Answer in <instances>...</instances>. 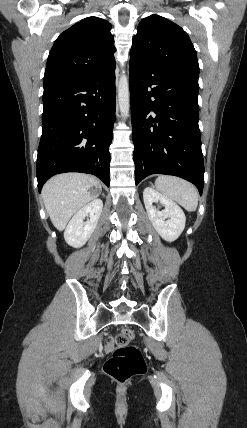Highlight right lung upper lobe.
<instances>
[{"label":"right lung upper lobe","instance_id":"obj_1","mask_svg":"<svg viewBox=\"0 0 247 428\" xmlns=\"http://www.w3.org/2000/svg\"><path fill=\"white\" fill-rule=\"evenodd\" d=\"M112 26L87 17L64 31L54 42L44 74V89L82 80L115 61Z\"/></svg>","mask_w":247,"mask_h":428}]
</instances>
